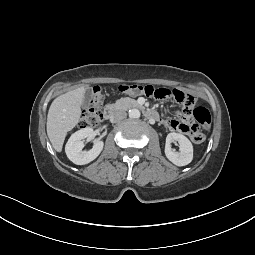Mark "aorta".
I'll use <instances>...</instances> for the list:
<instances>
[{
  "instance_id": "obj_1",
  "label": "aorta",
  "mask_w": 255,
  "mask_h": 255,
  "mask_svg": "<svg viewBox=\"0 0 255 255\" xmlns=\"http://www.w3.org/2000/svg\"><path fill=\"white\" fill-rule=\"evenodd\" d=\"M129 117L131 119H138L140 117V111L138 109L129 110Z\"/></svg>"
}]
</instances>
